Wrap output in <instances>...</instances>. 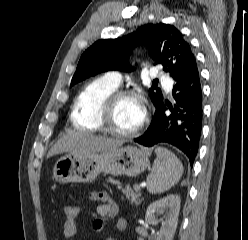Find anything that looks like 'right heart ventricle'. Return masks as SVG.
I'll list each match as a JSON object with an SVG mask.
<instances>
[{"label":"right heart ventricle","mask_w":248,"mask_h":240,"mask_svg":"<svg viewBox=\"0 0 248 240\" xmlns=\"http://www.w3.org/2000/svg\"><path fill=\"white\" fill-rule=\"evenodd\" d=\"M116 89L117 87L108 83L104 77L94 79L84 86L73 104L70 114L72 126L87 132L100 131L97 124L99 108Z\"/></svg>","instance_id":"e07e8e85"}]
</instances>
